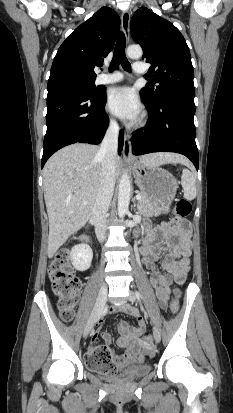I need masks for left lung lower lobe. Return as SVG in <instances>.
Segmentation results:
<instances>
[{
    "label": "left lung lower lobe",
    "instance_id": "left-lung-lower-lobe-1",
    "mask_svg": "<svg viewBox=\"0 0 233 413\" xmlns=\"http://www.w3.org/2000/svg\"><path fill=\"white\" fill-rule=\"evenodd\" d=\"M144 101L150 114V124L134 132L132 152H176L188 157L196 169L199 155L195 142V104L179 97L160 99L156 104Z\"/></svg>",
    "mask_w": 233,
    "mask_h": 413
}]
</instances>
